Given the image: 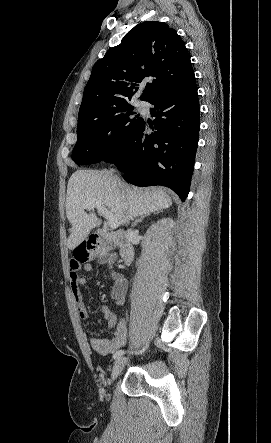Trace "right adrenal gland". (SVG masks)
Wrapping results in <instances>:
<instances>
[{"label":"right adrenal gland","mask_w":271,"mask_h":443,"mask_svg":"<svg viewBox=\"0 0 271 443\" xmlns=\"http://www.w3.org/2000/svg\"><path fill=\"white\" fill-rule=\"evenodd\" d=\"M147 216H150V214H144V216H139V218H137V220L133 222V225H137V223L142 222V220H144V218H147Z\"/></svg>","instance_id":"right-adrenal-gland-1"}]
</instances>
